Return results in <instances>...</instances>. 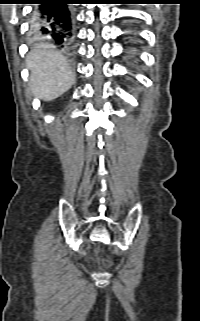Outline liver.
I'll use <instances>...</instances> for the list:
<instances>
[{"mask_svg":"<svg viewBox=\"0 0 200 321\" xmlns=\"http://www.w3.org/2000/svg\"><path fill=\"white\" fill-rule=\"evenodd\" d=\"M53 46L37 44L27 57L31 72L30 89L34 96L51 101L68 91L75 81L64 56L52 50Z\"/></svg>","mask_w":200,"mask_h":321,"instance_id":"1","label":"liver"}]
</instances>
